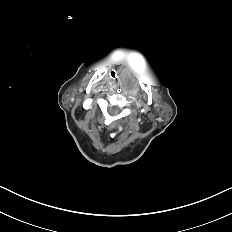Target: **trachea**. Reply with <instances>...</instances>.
Masks as SVG:
<instances>
[{"mask_svg":"<svg viewBox=\"0 0 232 232\" xmlns=\"http://www.w3.org/2000/svg\"><path fill=\"white\" fill-rule=\"evenodd\" d=\"M109 78L112 80V81H115L117 79V73L114 71V70H111L109 72Z\"/></svg>","mask_w":232,"mask_h":232,"instance_id":"obj_1","label":"trachea"}]
</instances>
